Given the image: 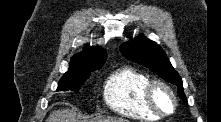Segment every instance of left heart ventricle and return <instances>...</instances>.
Listing matches in <instances>:
<instances>
[{
  "label": "left heart ventricle",
  "instance_id": "1",
  "mask_svg": "<svg viewBox=\"0 0 221 122\" xmlns=\"http://www.w3.org/2000/svg\"><path fill=\"white\" fill-rule=\"evenodd\" d=\"M155 100L158 106L165 112H169L173 108V101L170 95L162 88H158L155 92Z\"/></svg>",
  "mask_w": 221,
  "mask_h": 122
}]
</instances>
